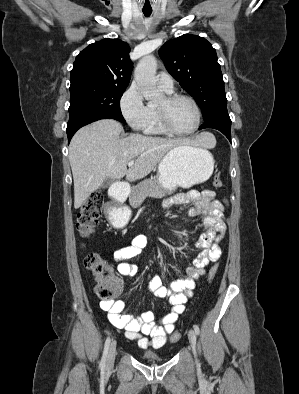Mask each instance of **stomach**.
Returning <instances> with one entry per match:
<instances>
[{
	"label": "stomach",
	"mask_w": 299,
	"mask_h": 394,
	"mask_svg": "<svg viewBox=\"0 0 299 394\" xmlns=\"http://www.w3.org/2000/svg\"><path fill=\"white\" fill-rule=\"evenodd\" d=\"M213 169V156L207 150L184 144L166 153L158 165L157 180L170 190L189 188L208 180Z\"/></svg>",
	"instance_id": "1"
}]
</instances>
